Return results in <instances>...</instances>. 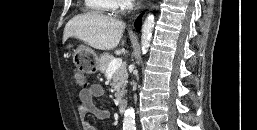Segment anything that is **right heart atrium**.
<instances>
[{
	"label": "right heart atrium",
	"mask_w": 257,
	"mask_h": 130,
	"mask_svg": "<svg viewBox=\"0 0 257 130\" xmlns=\"http://www.w3.org/2000/svg\"><path fill=\"white\" fill-rule=\"evenodd\" d=\"M133 0H117V5L121 9H126L132 5Z\"/></svg>",
	"instance_id": "1"
}]
</instances>
